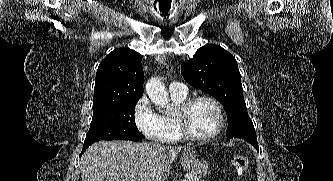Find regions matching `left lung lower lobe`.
I'll return each mask as SVG.
<instances>
[{
    "label": "left lung lower lobe",
    "mask_w": 333,
    "mask_h": 181,
    "mask_svg": "<svg viewBox=\"0 0 333 181\" xmlns=\"http://www.w3.org/2000/svg\"><path fill=\"white\" fill-rule=\"evenodd\" d=\"M236 138H242L245 141H247L248 143H250L251 145H253L256 149H258V143L257 140H253L251 138H249L248 136H246L245 134H241ZM231 138H227V140H230Z\"/></svg>",
    "instance_id": "0a47b994"
}]
</instances>
